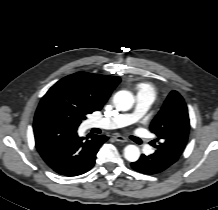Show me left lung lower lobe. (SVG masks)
<instances>
[{
    "label": "left lung lower lobe",
    "instance_id": "obj_1",
    "mask_svg": "<svg viewBox=\"0 0 218 210\" xmlns=\"http://www.w3.org/2000/svg\"><path fill=\"white\" fill-rule=\"evenodd\" d=\"M177 160L174 156L164 155L160 150H156L148 156L142 154L139 160L131 163V166L140 173L157 174L169 168Z\"/></svg>",
    "mask_w": 218,
    "mask_h": 210
}]
</instances>
